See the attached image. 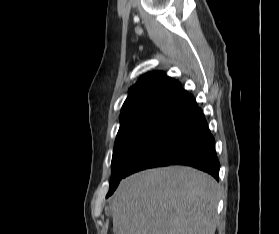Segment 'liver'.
Wrapping results in <instances>:
<instances>
[{"mask_svg":"<svg viewBox=\"0 0 279 234\" xmlns=\"http://www.w3.org/2000/svg\"><path fill=\"white\" fill-rule=\"evenodd\" d=\"M218 188L191 167L150 169L123 179L105 212L115 234H215Z\"/></svg>","mask_w":279,"mask_h":234,"instance_id":"obj_1","label":"liver"}]
</instances>
